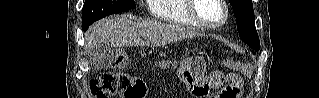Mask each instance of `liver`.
Instances as JSON below:
<instances>
[{
  "mask_svg": "<svg viewBox=\"0 0 319 98\" xmlns=\"http://www.w3.org/2000/svg\"><path fill=\"white\" fill-rule=\"evenodd\" d=\"M197 36L200 34L184 26L140 19L132 20L129 16L119 15L93 24L85 38L90 59L92 50L101 45L129 47L146 44L156 47ZM141 37L147 38V42L144 43Z\"/></svg>",
  "mask_w": 319,
  "mask_h": 98,
  "instance_id": "obj_1",
  "label": "liver"
}]
</instances>
